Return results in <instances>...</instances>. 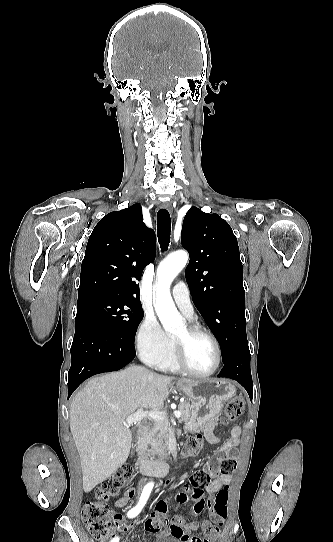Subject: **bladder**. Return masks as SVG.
Returning a JSON list of instances; mask_svg holds the SVG:
<instances>
[{"mask_svg":"<svg viewBox=\"0 0 333 542\" xmlns=\"http://www.w3.org/2000/svg\"><path fill=\"white\" fill-rule=\"evenodd\" d=\"M152 542H179L174 536L167 535L154 539Z\"/></svg>","mask_w":333,"mask_h":542,"instance_id":"1","label":"bladder"}]
</instances>
